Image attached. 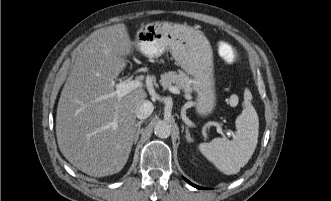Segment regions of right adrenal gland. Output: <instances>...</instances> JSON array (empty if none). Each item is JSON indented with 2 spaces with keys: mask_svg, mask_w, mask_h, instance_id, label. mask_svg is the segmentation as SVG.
<instances>
[{
  "mask_svg": "<svg viewBox=\"0 0 331 201\" xmlns=\"http://www.w3.org/2000/svg\"><path fill=\"white\" fill-rule=\"evenodd\" d=\"M143 120L141 121H138L136 124H135V134H134V144L137 143L138 141V138H139V134H140V129H141V125L143 124Z\"/></svg>",
  "mask_w": 331,
  "mask_h": 201,
  "instance_id": "1",
  "label": "right adrenal gland"
}]
</instances>
